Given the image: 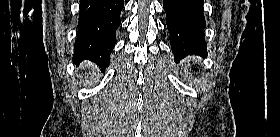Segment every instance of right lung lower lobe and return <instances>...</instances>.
I'll return each mask as SVG.
<instances>
[{
    "instance_id": "98d812e1",
    "label": "right lung lower lobe",
    "mask_w": 280,
    "mask_h": 137,
    "mask_svg": "<svg viewBox=\"0 0 280 137\" xmlns=\"http://www.w3.org/2000/svg\"><path fill=\"white\" fill-rule=\"evenodd\" d=\"M123 7V0H80L74 62L88 59L101 67L109 66Z\"/></svg>"
}]
</instances>
